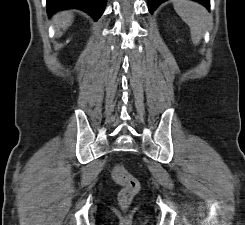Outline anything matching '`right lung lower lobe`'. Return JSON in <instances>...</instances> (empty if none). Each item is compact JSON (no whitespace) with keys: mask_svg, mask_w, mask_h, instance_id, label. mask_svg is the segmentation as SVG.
<instances>
[{"mask_svg":"<svg viewBox=\"0 0 245 225\" xmlns=\"http://www.w3.org/2000/svg\"><path fill=\"white\" fill-rule=\"evenodd\" d=\"M107 0H47V13L49 16L55 12L66 9H80L88 13L95 20L102 15Z\"/></svg>","mask_w":245,"mask_h":225,"instance_id":"right-lung-lower-lobe-1","label":"right lung lower lobe"}]
</instances>
